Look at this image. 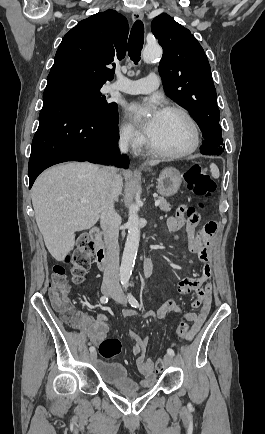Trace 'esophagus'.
<instances>
[{
    "instance_id": "obj_1",
    "label": "esophagus",
    "mask_w": 265,
    "mask_h": 434,
    "mask_svg": "<svg viewBox=\"0 0 265 434\" xmlns=\"http://www.w3.org/2000/svg\"><path fill=\"white\" fill-rule=\"evenodd\" d=\"M144 16V13L141 10H137L135 12L132 13V20L133 21H138L141 20Z\"/></svg>"
}]
</instances>
